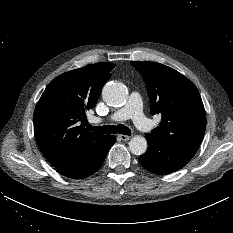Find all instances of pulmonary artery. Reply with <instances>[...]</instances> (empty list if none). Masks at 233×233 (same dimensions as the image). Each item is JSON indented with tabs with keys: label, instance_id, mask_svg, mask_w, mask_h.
<instances>
[{
	"label": "pulmonary artery",
	"instance_id": "e3ab8cb5",
	"mask_svg": "<svg viewBox=\"0 0 233 233\" xmlns=\"http://www.w3.org/2000/svg\"><path fill=\"white\" fill-rule=\"evenodd\" d=\"M112 121L132 119L134 124L142 130H148L150 124L142 112V98L138 92H132L124 107L108 117Z\"/></svg>",
	"mask_w": 233,
	"mask_h": 233
}]
</instances>
